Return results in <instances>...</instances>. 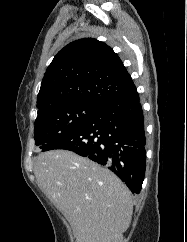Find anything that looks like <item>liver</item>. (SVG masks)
Instances as JSON below:
<instances>
[{
	"label": "liver",
	"instance_id": "1",
	"mask_svg": "<svg viewBox=\"0 0 187 242\" xmlns=\"http://www.w3.org/2000/svg\"><path fill=\"white\" fill-rule=\"evenodd\" d=\"M39 186L67 217L76 242H113L132 219V195L111 171L65 150L37 156Z\"/></svg>",
	"mask_w": 187,
	"mask_h": 242
}]
</instances>
